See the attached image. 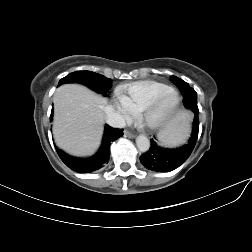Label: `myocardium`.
<instances>
[{"instance_id":"myocardium-1","label":"myocardium","mask_w":252,"mask_h":252,"mask_svg":"<svg viewBox=\"0 0 252 252\" xmlns=\"http://www.w3.org/2000/svg\"><path fill=\"white\" fill-rule=\"evenodd\" d=\"M168 99L171 100L169 106L162 113L156 114L157 108ZM179 105L180 98L178 93L170 89L154 97L138 110V120L148 129H161L170 121Z\"/></svg>"}]
</instances>
